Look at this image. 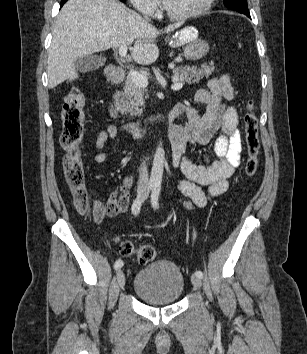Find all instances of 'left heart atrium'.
I'll return each mask as SVG.
<instances>
[{
	"label": "left heart atrium",
	"instance_id": "left-heart-atrium-1",
	"mask_svg": "<svg viewBox=\"0 0 307 354\" xmlns=\"http://www.w3.org/2000/svg\"><path fill=\"white\" fill-rule=\"evenodd\" d=\"M161 1H162L163 5L167 7V5L169 4L170 0H161Z\"/></svg>",
	"mask_w": 307,
	"mask_h": 354
}]
</instances>
